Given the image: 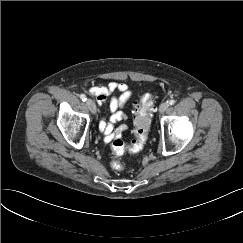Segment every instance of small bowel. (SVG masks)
<instances>
[{
  "mask_svg": "<svg viewBox=\"0 0 243 243\" xmlns=\"http://www.w3.org/2000/svg\"><path fill=\"white\" fill-rule=\"evenodd\" d=\"M115 92H119L121 95L119 97H113L112 94ZM90 94L95 97L99 105L108 102L110 112L112 113L108 120L103 119L100 122V130L104 135V141L110 142L116 138H120L127 129V125L123 124L115 128L114 124L117 121L126 119L122 109L131 96L128 85L122 82L112 81L106 86L92 87Z\"/></svg>",
  "mask_w": 243,
  "mask_h": 243,
  "instance_id": "c3829d8e",
  "label": "small bowel"
}]
</instances>
